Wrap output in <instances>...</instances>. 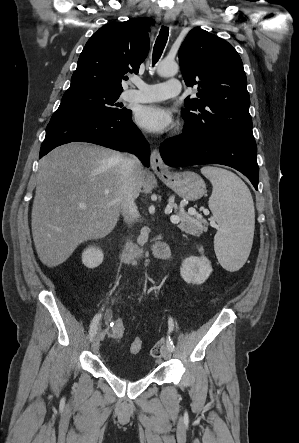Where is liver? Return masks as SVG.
Returning a JSON list of instances; mask_svg holds the SVG:
<instances>
[{
  "instance_id": "1",
  "label": "liver",
  "mask_w": 299,
  "mask_h": 443,
  "mask_svg": "<svg viewBox=\"0 0 299 443\" xmlns=\"http://www.w3.org/2000/svg\"><path fill=\"white\" fill-rule=\"evenodd\" d=\"M122 154L99 146L69 143L39 163L31 226L41 262L55 267L79 244L108 235L120 216ZM145 172L137 170L134 198ZM86 205L80 208L79 205Z\"/></svg>"
}]
</instances>
